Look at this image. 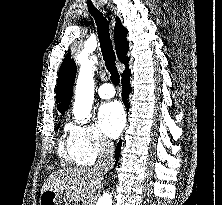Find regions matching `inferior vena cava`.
<instances>
[{
  "label": "inferior vena cava",
  "instance_id": "1",
  "mask_svg": "<svg viewBox=\"0 0 222 205\" xmlns=\"http://www.w3.org/2000/svg\"><path fill=\"white\" fill-rule=\"evenodd\" d=\"M114 144L109 140L103 142L98 162L94 167V171L103 174L107 173L114 164Z\"/></svg>",
  "mask_w": 222,
  "mask_h": 205
}]
</instances>
